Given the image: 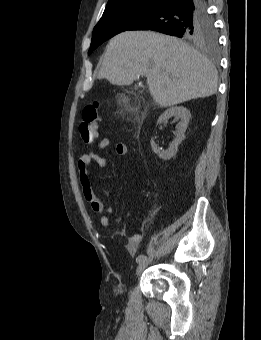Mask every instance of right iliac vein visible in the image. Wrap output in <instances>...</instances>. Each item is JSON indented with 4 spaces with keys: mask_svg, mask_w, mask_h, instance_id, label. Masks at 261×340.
<instances>
[{
    "mask_svg": "<svg viewBox=\"0 0 261 340\" xmlns=\"http://www.w3.org/2000/svg\"><path fill=\"white\" fill-rule=\"evenodd\" d=\"M154 260V255L147 257L144 261L138 264L136 268V275L141 274Z\"/></svg>",
    "mask_w": 261,
    "mask_h": 340,
    "instance_id": "right-iliac-vein-1",
    "label": "right iliac vein"
}]
</instances>
